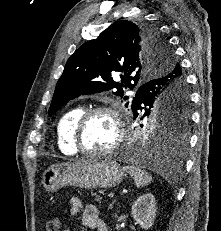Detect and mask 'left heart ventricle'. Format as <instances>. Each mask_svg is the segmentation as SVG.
Wrapping results in <instances>:
<instances>
[{
  "instance_id": "b2bd125f",
  "label": "left heart ventricle",
  "mask_w": 221,
  "mask_h": 231,
  "mask_svg": "<svg viewBox=\"0 0 221 231\" xmlns=\"http://www.w3.org/2000/svg\"><path fill=\"white\" fill-rule=\"evenodd\" d=\"M116 130L109 115L99 113L86 122L82 142L90 151H101L109 148L115 141Z\"/></svg>"
}]
</instances>
